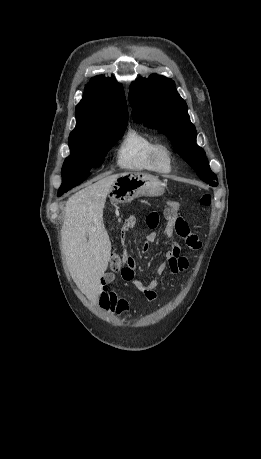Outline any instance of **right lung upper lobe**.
I'll return each instance as SVG.
<instances>
[{
  "label": "right lung upper lobe",
  "mask_w": 261,
  "mask_h": 459,
  "mask_svg": "<svg viewBox=\"0 0 261 459\" xmlns=\"http://www.w3.org/2000/svg\"><path fill=\"white\" fill-rule=\"evenodd\" d=\"M75 114L77 125L69 137L91 129L127 123L128 109L123 87L102 75L92 78L76 106Z\"/></svg>",
  "instance_id": "1"
}]
</instances>
